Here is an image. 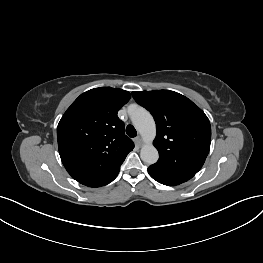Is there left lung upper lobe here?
<instances>
[{
	"label": "left lung upper lobe",
	"mask_w": 263,
	"mask_h": 263,
	"mask_svg": "<svg viewBox=\"0 0 263 263\" xmlns=\"http://www.w3.org/2000/svg\"><path fill=\"white\" fill-rule=\"evenodd\" d=\"M132 96L156 122L154 146L159 160L151 166L169 175L192 178L210 149L211 126L205 113L185 96L170 90L138 91Z\"/></svg>",
	"instance_id": "obj_1"
}]
</instances>
